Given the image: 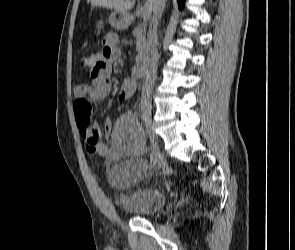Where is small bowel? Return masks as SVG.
Segmentation results:
<instances>
[{"label":"small bowel","instance_id":"small-bowel-1","mask_svg":"<svg viewBox=\"0 0 295 250\" xmlns=\"http://www.w3.org/2000/svg\"><path fill=\"white\" fill-rule=\"evenodd\" d=\"M92 57L90 81L77 86L76 100L87 99L96 102L110 94L111 65L121 58L117 35L107 34L102 40V49L93 53ZM135 89L136 81L133 78L125 80L121 86L119 99L130 98ZM103 130L105 136L111 137L110 147L103 141L97 122L88 128L79 127L80 135L89 153L110 155L117 161L109 168L108 178L113 187L125 190L138 180L148 166L146 160L140 157L144 151L143 132L133 112L122 114L114 125L110 118H106Z\"/></svg>","mask_w":295,"mask_h":250}]
</instances>
